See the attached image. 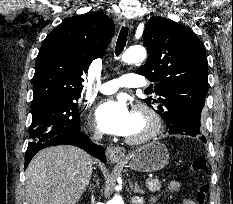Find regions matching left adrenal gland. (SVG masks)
I'll return each instance as SVG.
<instances>
[{
    "mask_svg": "<svg viewBox=\"0 0 233 204\" xmlns=\"http://www.w3.org/2000/svg\"><path fill=\"white\" fill-rule=\"evenodd\" d=\"M131 184V190H133L134 193H140V194H144V191L142 189H140L138 183L136 182L134 187H133V184Z\"/></svg>",
    "mask_w": 233,
    "mask_h": 204,
    "instance_id": "1",
    "label": "left adrenal gland"
}]
</instances>
